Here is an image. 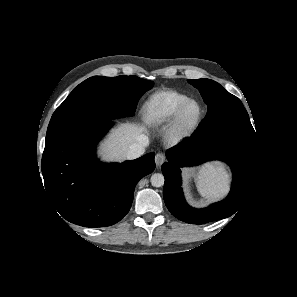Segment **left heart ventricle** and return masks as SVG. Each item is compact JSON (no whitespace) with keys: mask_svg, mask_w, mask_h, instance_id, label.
<instances>
[{"mask_svg":"<svg viewBox=\"0 0 297 297\" xmlns=\"http://www.w3.org/2000/svg\"><path fill=\"white\" fill-rule=\"evenodd\" d=\"M198 113V107L195 104H191L184 112L183 120L185 123L191 122Z\"/></svg>","mask_w":297,"mask_h":297,"instance_id":"left-heart-ventricle-1","label":"left heart ventricle"}]
</instances>
